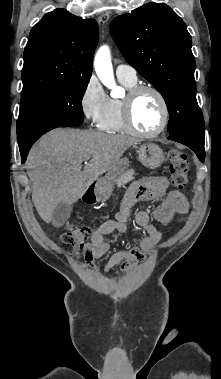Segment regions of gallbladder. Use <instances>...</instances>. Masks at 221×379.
<instances>
[{"instance_id": "obj_1", "label": "gallbladder", "mask_w": 221, "mask_h": 379, "mask_svg": "<svg viewBox=\"0 0 221 379\" xmlns=\"http://www.w3.org/2000/svg\"><path fill=\"white\" fill-rule=\"evenodd\" d=\"M72 212V206L64 202L57 204L53 211L52 223L55 226L63 225L70 217Z\"/></svg>"}]
</instances>
